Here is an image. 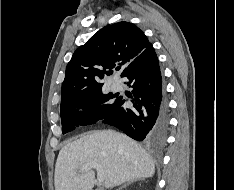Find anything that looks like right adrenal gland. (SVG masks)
<instances>
[{
	"instance_id": "right-adrenal-gland-1",
	"label": "right adrenal gland",
	"mask_w": 234,
	"mask_h": 190,
	"mask_svg": "<svg viewBox=\"0 0 234 190\" xmlns=\"http://www.w3.org/2000/svg\"><path fill=\"white\" fill-rule=\"evenodd\" d=\"M137 180H139V179H132V180L128 181L122 187H120L118 190H122L123 188H126L127 186L131 185L132 183L136 182Z\"/></svg>"
}]
</instances>
